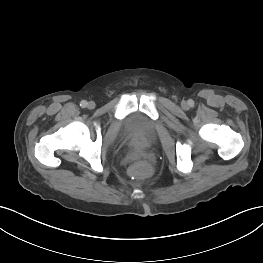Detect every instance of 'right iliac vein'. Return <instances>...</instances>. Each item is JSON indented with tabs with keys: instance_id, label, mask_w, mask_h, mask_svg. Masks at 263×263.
<instances>
[{
	"instance_id": "obj_1",
	"label": "right iliac vein",
	"mask_w": 263,
	"mask_h": 263,
	"mask_svg": "<svg viewBox=\"0 0 263 263\" xmlns=\"http://www.w3.org/2000/svg\"><path fill=\"white\" fill-rule=\"evenodd\" d=\"M87 107L89 109H93L95 107V103L93 101H90L88 104H87Z\"/></svg>"
}]
</instances>
